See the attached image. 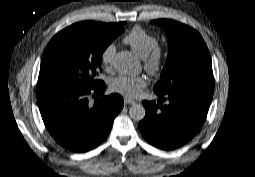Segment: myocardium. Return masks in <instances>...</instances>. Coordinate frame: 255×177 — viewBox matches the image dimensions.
Listing matches in <instances>:
<instances>
[{
    "mask_svg": "<svg viewBox=\"0 0 255 177\" xmlns=\"http://www.w3.org/2000/svg\"><path fill=\"white\" fill-rule=\"evenodd\" d=\"M167 50L162 44H156L144 58V69L150 75L159 74L166 62Z\"/></svg>",
    "mask_w": 255,
    "mask_h": 177,
    "instance_id": "obj_1",
    "label": "myocardium"
}]
</instances>
